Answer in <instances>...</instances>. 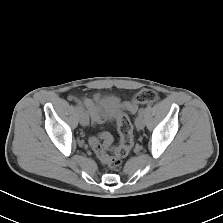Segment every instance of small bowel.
<instances>
[{"instance_id": "c3829d8e", "label": "small bowel", "mask_w": 223, "mask_h": 223, "mask_svg": "<svg viewBox=\"0 0 223 223\" xmlns=\"http://www.w3.org/2000/svg\"><path fill=\"white\" fill-rule=\"evenodd\" d=\"M101 98V93H96L93 98H82L80 100L70 96L71 100H75L84 106L95 125H102L105 122V116L100 106Z\"/></svg>"}]
</instances>
